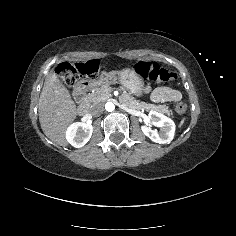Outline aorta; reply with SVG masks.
I'll list each match as a JSON object with an SVG mask.
<instances>
[{
	"label": "aorta",
	"instance_id": "762f6f07",
	"mask_svg": "<svg viewBox=\"0 0 236 236\" xmlns=\"http://www.w3.org/2000/svg\"><path fill=\"white\" fill-rule=\"evenodd\" d=\"M105 109H106V111H108V112L114 111V109H115L114 103H112V102H107V103L105 104Z\"/></svg>",
	"mask_w": 236,
	"mask_h": 236
}]
</instances>
